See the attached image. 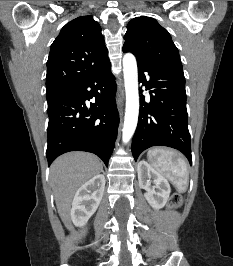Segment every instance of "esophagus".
Returning a JSON list of instances; mask_svg holds the SVG:
<instances>
[{
	"label": "esophagus",
	"instance_id": "esophagus-1",
	"mask_svg": "<svg viewBox=\"0 0 233 266\" xmlns=\"http://www.w3.org/2000/svg\"><path fill=\"white\" fill-rule=\"evenodd\" d=\"M116 101H117V107H118V109L120 110V108H121V104H122V100H121V96H120L119 93L117 94Z\"/></svg>",
	"mask_w": 233,
	"mask_h": 266
}]
</instances>
